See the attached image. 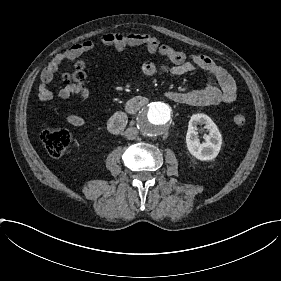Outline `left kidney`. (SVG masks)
<instances>
[{
  "label": "left kidney",
  "mask_w": 281,
  "mask_h": 281,
  "mask_svg": "<svg viewBox=\"0 0 281 281\" xmlns=\"http://www.w3.org/2000/svg\"><path fill=\"white\" fill-rule=\"evenodd\" d=\"M198 124H204V128L209 132L203 143H200L197 136ZM221 145V133L212 119L205 114L193 115L189 121L186 135V146L189 153L199 161H210L219 154Z\"/></svg>",
  "instance_id": "1"
}]
</instances>
